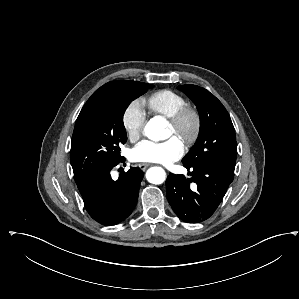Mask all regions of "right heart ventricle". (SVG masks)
<instances>
[{
  "mask_svg": "<svg viewBox=\"0 0 299 299\" xmlns=\"http://www.w3.org/2000/svg\"><path fill=\"white\" fill-rule=\"evenodd\" d=\"M148 108L154 113L171 118L186 105L185 98L176 91L163 89L154 92L146 99Z\"/></svg>",
  "mask_w": 299,
  "mask_h": 299,
  "instance_id": "e07e8e85",
  "label": "right heart ventricle"
}]
</instances>
